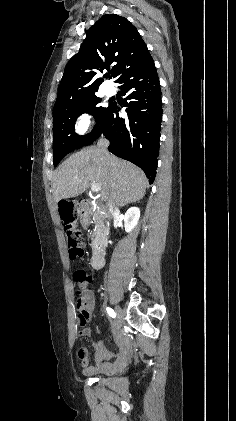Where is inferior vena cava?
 I'll return each mask as SVG.
<instances>
[{
  "instance_id": "inferior-vena-cava-1",
  "label": "inferior vena cava",
  "mask_w": 236,
  "mask_h": 421,
  "mask_svg": "<svg viewBox=\"0 0 236 421\" xmlns=\"http://www.w3.org/2000/svg\"><path fill=\"white\" fill-rule=\"evenodd\" d=\"M110 142L109 140H107V138H103V136H101V138H99L98 142H97V146L98 148H100L101 152H103L104 156H109V152L107 150V146H109ZM116 208V206H115Z\"/></svg>"
}]
</instances>
